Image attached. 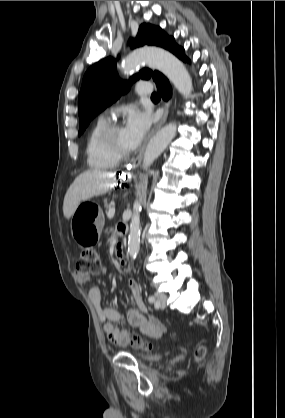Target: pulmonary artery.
<instances>
[{"mask_svg": "<svg viewBox=\"0 0 285 418\" xmlns=\"http://www.w3.org/2000/svg\"><path fill=\"white\" fill-rule=\"evenodd\" d=\"M152 92V87L147 84H138L136 87V94L137 95H147Z\"/></svg>", "mask_w": 285, "mask_h": 418, "instance_id": "1", "label": "pulmonary artery"}]
</instances>
